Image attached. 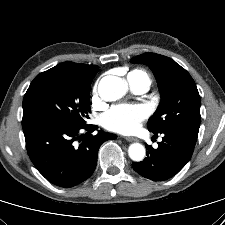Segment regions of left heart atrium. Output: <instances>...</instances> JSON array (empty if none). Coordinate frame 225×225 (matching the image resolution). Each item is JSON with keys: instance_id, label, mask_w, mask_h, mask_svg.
<instances>
[{"instance_id": "obj_1", "label": "left heart atrium", "mask_w": 225, "mask_h": 225, "mask_svg": "<svg viewBox=\"0 0 225 225\" xmlns=\"http://www.w3.org/2000/svg\"><path fill=\"white\" fill-rule=\"evenodd\" d=\"M148 115L144 105L121 104L112 107L103 116V125L110 131L129 134L137 130Z\"/></svg>"}]
</instances>
